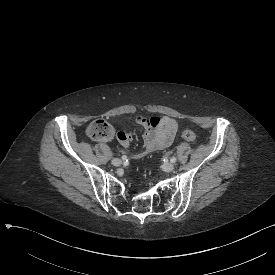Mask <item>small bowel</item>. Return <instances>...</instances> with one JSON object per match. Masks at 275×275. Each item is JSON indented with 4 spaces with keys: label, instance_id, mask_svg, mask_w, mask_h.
<instances>
[{
    "label": "small bowel",
    "instance_id": "obj_1",
    "mask_svg": "<svg viewBox=\"0 0 275 275\" xmlns=\"http://www.w3.org/2000/svg\"><path fill=\"white\" fill-rule=\"evenodd\" d=\"M136 122L144 128L143 147L138 152H131L129 141L133 138L131 133L125 134L124 131L116 132V139L127 149V152L134 159H140L154 151L167 148L178 133L179 125L173 118L164 117H145L139 115Z\"/></svg>",
    "mask_w": 275,
    "mask_h": 275
}]
</instances>
